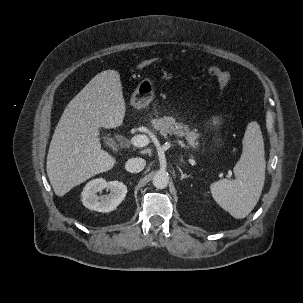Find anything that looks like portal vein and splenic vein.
I'll list each match as a JSON object with an SVG mask.
<instances>
[{
    "label": "portal vein and splenic vein",
    "mask_w": 303,
    "mask_h": 303,
    "mask_svg": "<svg viewBox=\"0 0 303 303\" xmlns=\"http://www.w3.org/2000/svg\"><path fill=\"white\" fill-rule=\"evenodd\" d=\"M178 143L182 147H186V145L181 140H178ZM131 144L135 147H144L149 144V138L146 135H135L131 138Z\"/></svg>",
    "instance_id": "1"
}]
</instances>
